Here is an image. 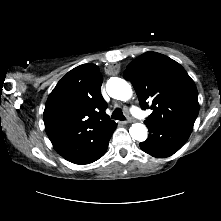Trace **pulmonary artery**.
I'll return each instance as SVG.
<instances>
[{"label": "pulmonary artery", "mask_w": 221, "mask_h": 221, "mask_svg": "<svg viewBox=\"0 0 221 221\" xmlns=\"http://www.w3.org/2000/svg\"><path fill=\"white\" fill-rule=\"evenodd\" d=\"M131 112L133 113L134 116H136L138 119H147L148 115L142 111L141 109H139L138 107L136 106H133L131 108Z\"/></svg>", "instance_id": "1"}]
</instances>
